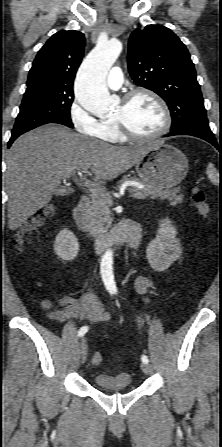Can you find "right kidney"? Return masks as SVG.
<instances>
[{"mask_svg":"<svg viewBox=\"0 0 222 447\" xmlns=\"http://www.w3.org/2000/svg\"><path fill=\"white\" fill-rule=\"evenodd\" d=\"M54 251L62 260H74L79 252V243L74 233L68 229L60 231L54 242Z\"/></svg>","mask_w":222,"mask_h":447,"instance_id":"1","label":"right kidney"}]
</instances>
